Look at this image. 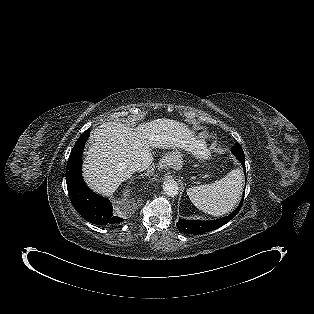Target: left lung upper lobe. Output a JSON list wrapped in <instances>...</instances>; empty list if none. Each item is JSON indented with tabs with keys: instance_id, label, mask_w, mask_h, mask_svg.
Instances as JSON below:
<instances>
[{
	"instance_id": "1",
	"label": "left lung upper lobe",
	"mask_w": 314,
	"mask_h": 314,
	"mask_svg": "<svg viewBox=\"0 0 314 314\" xmlns=\"http://www.w3.org/2000/svg\"><path fill=\"white\" fill-rule=\"evenodd\" d=\"M232 152L237 157H243L244 156V152H243L242 147L240 146L239 143L234 144V146L232 147Z\"/></svg>"
}]
</instances>
